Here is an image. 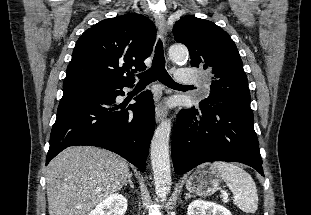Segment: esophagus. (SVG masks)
<instances>
[{
    "mask_svg": "<svg viewBox=\"0 0 311 215\" xmlns=\"http://www.w3.org/2000/svg\"><path fill=\"white\" fill-rule=\"evenodd\" d=\"M154 18L156 21V25H157L159 34L162 37V39L166 42V40H167V29H166L165 18H164L162 13L154 14ZM155 117H156L157 122H160L162 119H164L166 117V110L160 103H158L156 105Z\"/></svg>",
    "mask_w": 311,
    "mask_h": 215,
    "instance_id": "34e87169",
    "label": "esophagus"
}]
</instances>
